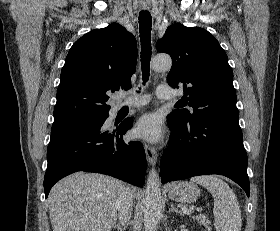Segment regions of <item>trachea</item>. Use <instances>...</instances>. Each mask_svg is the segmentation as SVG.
Returning <instances> with one entry per match:
<instances>
[{
	"label": "trachea",
	"instance_id": "obj_1",
	"mask_svg": "<svg viewBox=\"0 0 280 231\" xmlns=\"http://www.w3.org/2000/svg\"><path fill=\"white\" fill-rule=\"evenodd\" d=\"M151 25L152 18L148 11L140 12L139 14V33L141 40V68L143 82H147L149 79L150 71V59H151ZM177 108H180L181 105L176 104Z\"/></svg>",
	"mask_w": 280,
	"mask_h": 231
}]
</instances>
